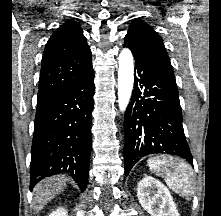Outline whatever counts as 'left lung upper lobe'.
<instances>
[{"label": "left lung upper lobe", "instance_id": "1", "mask_svg": "<svg viewBox=\"0 0 221 216\" xmlns=\"http://www.w3.org/2000/svg\"><path fill=\"white\" fill-rule=\"evenodd\" d=\"M125 45L141 56L162 63L172 69L162 38L151 26L134 20L125 36Z\"/></svg>", "mask_w": 221, "mask_h": 216}]
</instances>
